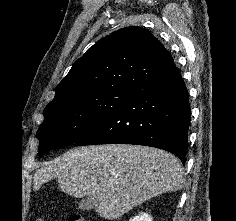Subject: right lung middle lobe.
I'll return each mask as SVG.
<instances>
[{
  "mask_svg": "<svg viewBox=\"0 0 236 221\" xmlns=\"http://www.w3.org/2000/svg\"><path fill=\"white\" fill-rule=\"evenodd\" d=\"M135 93V90L116 88L46 107L44 122L37 131L39 156L53 148L76 143Z\"/></svg>",
  "mask_w": 236,
  "mask_h": 221,
  "instance_id": "obj_1",
  "label": "right lung middle lobe"
}]
</instances>
